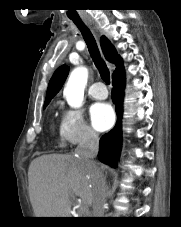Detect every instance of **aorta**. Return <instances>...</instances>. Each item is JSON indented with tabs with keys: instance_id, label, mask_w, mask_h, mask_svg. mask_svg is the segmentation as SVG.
Wrapping results in <instances>:
<instances>
[{
	"instance_id": "762f6f07",
	"label": "aorta",
	"mask_w": 181,
	"mask_h": 227,
	"mask_svg": "<svg viewBox=\"0 0 181 227\" xmlns=\"http://www.w3.org/2000/svg\"><path fill=\"white\" fill-rule=\"evenodd\" d=\"M88 80V69L76 67L70 74L63 91L68 105L72 108H80L83 105L84 89Z\"/></svg>"
}]
</instances>
